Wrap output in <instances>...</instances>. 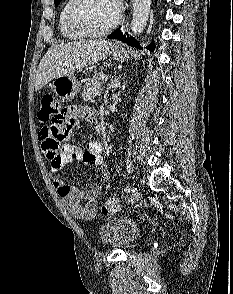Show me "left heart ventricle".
<instances>
[{
  "label": "left heart ventricle",
  "instance_id": "b2bd125f",
  "mask_svg": "<svg viewBox=\"0 0 233 294\" xmlns=\"http://www.w3.org/2000/svg\"><path fill=\"white\" fill-rule=\"evenodd\" d=\"M110 0H86L77 12L79 24L88 31H100L117 17Z\"/></svg>",
  "mask_w": 233,
  "mask_h": 294
}]
</instances>
